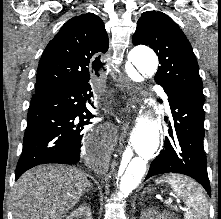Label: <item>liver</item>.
Returning a JSON list of instances; mask_svg holds the SVG:
<instances>
[{
    "label": "liver",
    "mask_w": 221,
    "mask_h": 219,
    "mask_svg": "<svg viewBox=\"0 0 221 219\" xmlns=\"http://www.w3.org/2000/svg\"><path fill=\"white\" fill-rule=\"evenodd\" d=\"M87 175L72 166H38L14 186L13 219H62L86 192Z\"/></svg>",
    "instance_id": "6515ba94"
}]
</instances>
